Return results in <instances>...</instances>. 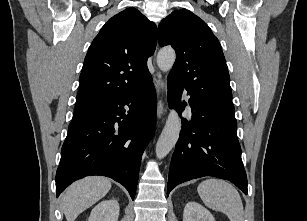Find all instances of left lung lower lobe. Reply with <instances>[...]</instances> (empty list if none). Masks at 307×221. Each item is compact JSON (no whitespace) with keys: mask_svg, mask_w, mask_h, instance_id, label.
I'll return each instance as SVG.
<instances>
[{"mask_svg":"<svg viewBox=\"0 0 307 221\" xmlns=\"http://www.w3.org/2000/svg\"><path fill=\"white\" fill-rule=\"evenodd\" d=\"M168 101L179 114L187 105L183 86L168 77ZM192 119L182 120V131L172 156L167 194L178 184L203 176L229 180L247 194V176L236 134V120L191 97Z\"/></svg>","mask_w":307,"mask_h":221,"instance_id":"0a47b994","label":"left lung lower lobe"}]
</instances>
